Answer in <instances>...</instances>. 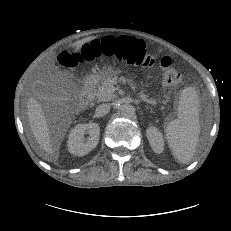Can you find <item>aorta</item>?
I'll return each instance as SVG.
<instances>
[{
	"label": "aorta",
	"mask_w": 231,
	"mask_h": 231,
	"mask_svg": "<svg viewBox=\"0 0 231 231\" xmlns=\"http://www.w3.org/2000/svg\"><path fill=\"white\" fill-rule=\"evenodd\" d=\"M121 114L126 118H130L135 114V108L132 105L125 104L121 107Z\"/></svg>",
	"instance_id": "aorta-1"
}]
</instances>
